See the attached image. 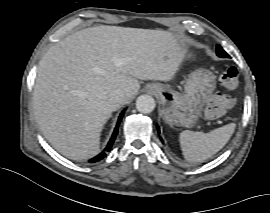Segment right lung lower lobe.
Wrapping results in <instances>:
<instances>
[{
	"label": "right lung lower lobe",
	"mask_w": 270,
	"mask_h": 213,
	"mask_svg": "<svg viewBox=\"0 0 270 213\" xmlns=\"http://www.w3.org/2000/svg\"><path fill=\"white\" fill-rule=\"evenodd\" d=\"M123 115H124V111H122L121 114H120V116H119V119H118L117 125H116V127H115V130H114V132H113V135H112V137H111V139H110V141H109L107 147L105 148V151H103L102 153H100V154L97 155L96 157L92 158V159L90 160L91 163H94V162H97V161L101 160L102 158H104V157L106 156V153H105V152H106V151H110V149H111V147H112V145H113V143H114V140H115V138H116V135H117V133H118V127H119V124H120V122H121V120H122Z\"/></svg>",
	"instance_id": "98d812e1"
}]
</instances>
